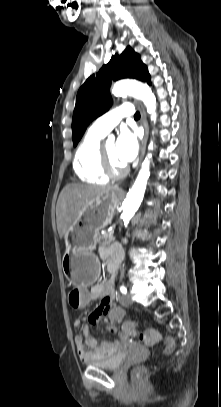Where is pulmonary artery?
I'll return each mask as SVG.
<instances>
[{
	"mask_svg": "<svg viewBox=\"0 0 221 407\" xmlns=\"http://www.w3.org/2000/svg\"><path fill=\"white\" fill-rule=\"evenodd\" d=\"M134 114V107L130 103H124L104 115L97 118L91 125L90 130L106 135L110 132L124 117Z\"/></svg>",
	"mask_w": 221,
	"mask_h": 407,
	"instance_id": "e3ab8cb5",
	"label": "pulmonary artery"
}]
</instances>
